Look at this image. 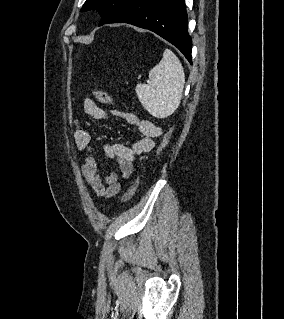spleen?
<instances>
[{
    "label": "spleen",
    "instance_id": "1",
    "mask_svg": "<svg viewBox=\"0 0 284 319\" xmlns=\"http://www.w3.org/2000/svg\"><path fill=\"white\" fill-rule=\"evenodd\" d=\"M184 83L182 64L170 49H165L161 61L149 71L148 84H137L135 90L151 115L166 118L178 108Z\"/></svg>",
    "mask_w": 284,
    "mask_h": 319
}]
</instances>
